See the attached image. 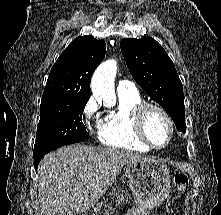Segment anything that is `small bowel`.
<instances>
[{
	"label": "small bowel",
	"mask_w": 221,
	"mask_h": 215,
	"mask_svg": "<svg viewBox=\"0 0 221 215\" xmlns=\"http://www.w3.org/2000/svg\"><path fill=\"white\" fill-rule=\"evenodd\" d=\"M156 215H167V214H156Z\"/></svg>",
	"instance_id": "small-bowel-1"
}]
</instances>
